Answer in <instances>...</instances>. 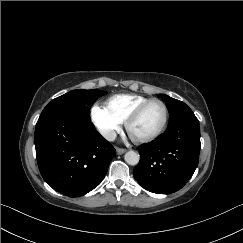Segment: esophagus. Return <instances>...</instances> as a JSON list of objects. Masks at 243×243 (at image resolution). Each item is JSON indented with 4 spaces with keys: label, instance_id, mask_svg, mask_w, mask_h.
I'll list each match as a JSON object with an SVG mask.
<instances>
[{
    "label": "esophagus",
    "instance_id": "obj_1",
    "mask_svg": "<svg viewBox=\"0 0 243 243\" xmlns=\"http://www.w3.org/2000/svg\"><path fill=\"white\" fill-rule=\"evenodd\" d=\"M126 151L127 150L126 149H123V148H117L116 149V152H117L118 155H121V154L125 153Z\"/></svg>",
    "mask_w": 243,
    "mask_h": 243
}]
</instances>
